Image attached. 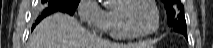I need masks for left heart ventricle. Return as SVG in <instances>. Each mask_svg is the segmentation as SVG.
Here are the masks:
<instances>
[{
  "mask_svg": "<svg viewBox=\"0 0 213 48\" xmlns=\"http://www.w3.org/2000/svg\"><path fill=\"white\" fill-rule=\"evenodd\" d=\"M129 23L139 32L151 31L155 26L152 7L143 1H136L124 10Z\"/></svg>",
  "mask_w": 213,
  "mask_h": 48,
  "instance_id": "1",
  "label": "left heart ventricle"
}]
</instances>
